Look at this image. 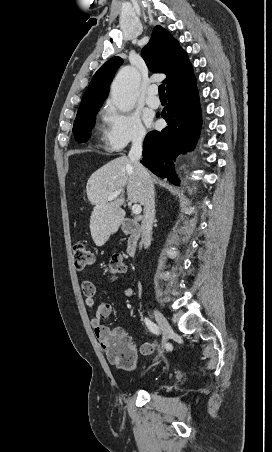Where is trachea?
<instances>
[{
    "label": "trachea",
    "instance_id": "3493384b",
    "mask_svg": "<svg viewBox=\"0 0 272 452\" xmlns=\"http://www.w3.org/2000/svg\"><path fill=\"white\" fill-rule=\"evenodd\" d=\"M159 90V97H166V93H165V85L161 84L158 88Z\"/></svg>",
    "mask_w": 272,
    "mask_h": 452
}]
</instances>
